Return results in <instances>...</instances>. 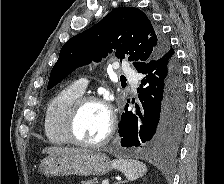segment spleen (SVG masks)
<instances>
[{"label": "spleen", "instance_id": "1", "mask_svg": "<svg viewBox=\"0 0 224 184\" xmlns=\"http://www.w3.org/2000/svg\"><path fill=\"white\" fill-rule=\"evenodd\" d=\"M112 166L121 171L128 180L134 181L147 172V167L140 161L128 159H115Z\"/></svg>", "mask_w": 224, "mask_h": 184}]
</instances>
